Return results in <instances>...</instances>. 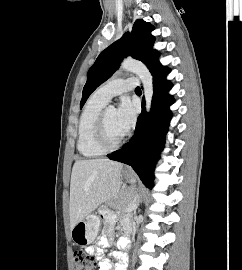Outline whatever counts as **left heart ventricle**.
<instances>
[{"label":"left heart ventricle","mask_w":242,"mask_h":270,"mask_svg":"<svg viewBox=\"0 0 242 270\" xmlns=\"http://www.w3.org/2000/svg\"><path fill=\"white\" fill-rule=\"evenodd\" d=\"M106 122L108 139L111 143L118 141L126 133L118 122L115 109H108Z\"/></svg>","instance_id":"left-heart-ventricle-1"}]
</instances>
